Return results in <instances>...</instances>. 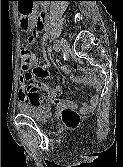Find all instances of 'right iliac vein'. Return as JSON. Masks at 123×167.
Instances as JSON below:
<instances>
[{"instance_id": "1", "label": "right iliac vein", "mask_w": 123, "mask_h": 167, "mask_svg": "<svg viewBox=\"0 0 123 167\" xmlns=\"http://www.w3.org/2000/svg\"><path fill=\"white\" fill-rule=\"evenodd\" d=\"M60 47L62 50H67L69 47L67 41L64 38L60 40Z\"/></svg>"}]
</instances>
